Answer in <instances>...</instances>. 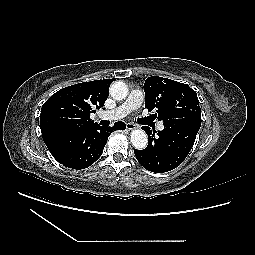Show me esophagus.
I'll return each mask as SVG.
<instances>
[{"label": "esophagus", "mask_w": 255, "mask_h": 255, "mask_svg": "<svg viewBox=\"0 0 255 255\" xmlns=\"http://www.w3.org/2000/svg\"><path fill=\"white\" fill-rule=\"evenodd\" d=\"M126 128H127V130H133L136 128V125L128 122V123H126Z\"/></svg>", "instance_id": "34e87169"}]
</instances>
